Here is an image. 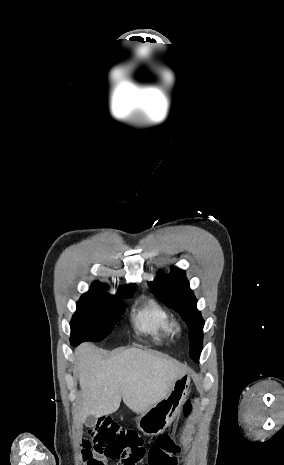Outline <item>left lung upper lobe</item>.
<instances>
[{
  "mask_svg": "<svg viewBox=\"0 0 284 465\" xmlns=\"http://www.w3.org/2000/svg\"><path fill=\"white\" fill-rule=\"evenodd\" d=\"M151 291L168 307L176 310L189 328V355L198 362L203 345L204 320L197 310V300L189 288L185 271L173 268L168 275L158 276L148 283Z\"/></svg>",
  "mask_w": 284,
  "mask_h": 465,
  "instance_id": "left-lung-upper-lobe-1",
  "label": "left lung upper lobe"
}]
</instances>
